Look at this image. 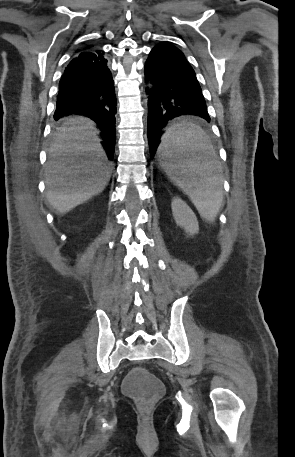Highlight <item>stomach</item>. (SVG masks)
Here are the masks:
<instances>
[{"mask_svg": "<svg viewBox=\"0 0 295 457\" xmlns=\"http://www.w3.org/2000/svg\"><path fill=\"white\" fill-rule=\"evenodd\" d=\"M160 161V164L163 165L165 163V160L164 159H159Z\"/></svg>", "mask_w": 295, "mask_h": 457, "instance_id": "stomach-1", "label": "stomach"}]
</instances>
